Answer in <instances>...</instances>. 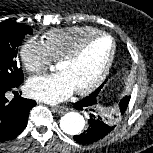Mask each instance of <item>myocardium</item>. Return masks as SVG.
<instances>
[{
	"label": "myocardium",
	"instance_id": "f54148a6",
	"mask_svg": "<svg viewBox=\"0 0 153 153\" xmlns=\"http://www.w3.org/2000/svg\"><path fill=\"white\" fill-rule=\"evenodd\" d=\"M99 38H109L111 40V43H112L111 53L109 55V58L105 64V66L103 67L102 71L100 72V74L89 85H87L83 88L75 89V92L79 95H85V94L92 92L107 77V75L112 67V64L114 62L115 55H116L117 45H116L115 39L108 33L100 32L98 34H95V35H92V36L86 38L74 50H72L70 53L66 54L65 56H63L62 58H60L58 60V63H67V62L75 61L76 59H78L81 56V54L84 52V50L87 48V46L90 43H92L93 41H95Z\"/></svg>",
	"mask_w": 153,
	"mask_h": 153
}]
</instances>
